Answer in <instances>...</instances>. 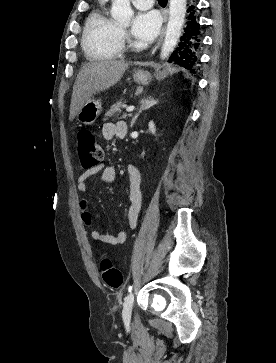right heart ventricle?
<instances>
[{"mask_svg": "<svg viewBox=\"0 0 276 363\" xmlns=\"http://www.w3.org/2000/svg\"><path fill=\"white\" fill-rule=\"evenodd\" d=\"M82 47L86 55L94 60L113 59L123 52L121 27L105 9H97L88 17Z\"/></svg>", "mask_w": 276, "mask_h": 363, "instance_id": "obj_1", "label": "right heart ventricle"}]
</instances>
